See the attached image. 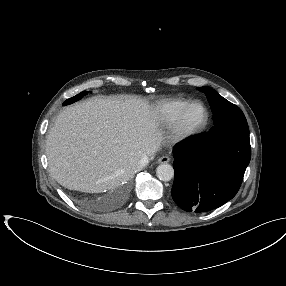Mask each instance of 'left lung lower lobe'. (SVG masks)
<instances>
[{
    "label": "left lung lower lobe",
    "mask_w": 286,
    "mask_h": 286,
    "mask_svg": "<svg viewBox=\"0 0 286 286\" xmlns=\"http://www.w3.org/2000/svg\"><path fill=\"white\" fill-rule=\"evenodd\" d=\"M175 171L171 195L183 210L208 212L238 192L250 162L247 122L215 125L196 141L173 149Z\"/></svg>",
    "instance_id": "0a47b994"
}]
</instances>
